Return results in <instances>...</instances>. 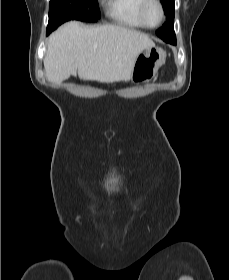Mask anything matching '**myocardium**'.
Wrapping results in <instances>:
<instances>
[{"instance_id": "f54148a6", "label": "myocardium", "mask_w": 229, "mask_h": 280, "mask_svg": "<svg viewBox=\"0 0 229 280\" xmlns=\"http://www.w3.org/2000/svg\"><path fill=\"white\" fill-rule=\"evenodd\" d=\"M155 5L158 7L159 11H160V19L159 22L155 25H151L148 23L147 21V10L149 9L150 6ZM139 17L143 23V25L146 28H155L158 27L164 20V7L162 5V3L159 0H144L140 10H139Z\"/></svg>"}]
</instances>
